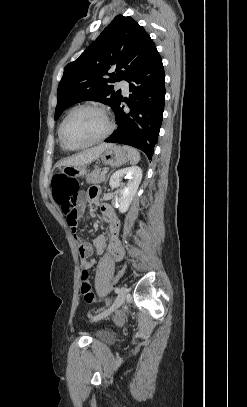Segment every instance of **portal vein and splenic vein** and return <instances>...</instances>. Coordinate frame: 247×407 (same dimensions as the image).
Instances as JSON below:
<instances>
[{
    "instance_id": "1",
    "label": "portal vein and splenic vein",
    "mask_w": 247,
    "mask_h": 407,
    "mask_svg": "<svg viewBox=\"0 0 247 407\" xmlns=\"http://www.w3.org/2000/svg\"><path fill=\"white\" fill-rule=\"evenodd\" d=\"M108 171L107 170H104V171H102V175H105L106 173H107Z\"/></svg>"
}]
</instances>
